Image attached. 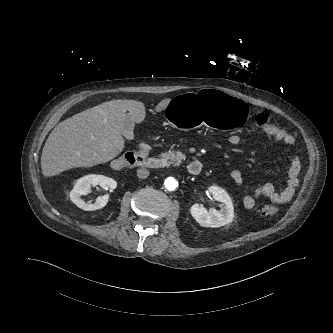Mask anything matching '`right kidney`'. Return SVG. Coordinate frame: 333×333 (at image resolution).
Masks as SVG:
<instances>
[{
  "label": "right kidney",
  "instance_id": "ca27d5eb",
  "mask_svg": "<svg viewBox=\"0 0 333 333\" xmlns=\"http://www.w3.org/2000/svg\"><path fill=\"white\" fill-rule=\"evenodd\" d=\"M91 186H100L112 192L116 188L117 183L112 178L99 174H89L78 179L70 192V199L76 206L85 211H94L103 208L109 198L108 195H104L97 198L93 204L85 203L81 199V196L88 194Z\"/></svg>",
  "mask_w": 333,
  "mask_h": 333
}]
</instances>
